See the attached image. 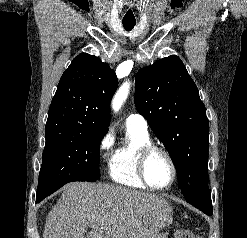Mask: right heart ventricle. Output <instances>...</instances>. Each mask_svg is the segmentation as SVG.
Returning <instances> with one entry per match:
<instances>
[{
	"label": "right heart ventricle",
	"mask_w": 247,
	"mask_h": 238,
	"mask_svg": "<svg viewBox=\"0 0 247 238\" xmlns=\"http://www.w3.org/2000/svg\"><path fill=\"white\" fill-rule=\"evenodd\" d=\"M127 138L116 147L108 160V173L110 178L122 186L145 189L147 186L141 180L137 162L141 149L150 144L147 131L134 127H127Z\"/></svg>",
	"instance_id": "1"
}]
</instances>
